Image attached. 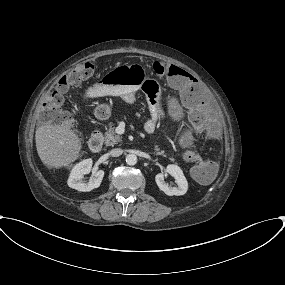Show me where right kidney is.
Returning a JSON list of instances; mask_svg holds the SVG:
<instances>
[{
	"label": "right kidney",
	"mask_w": 285,
	"mask_h": 285,
	"mask_svg": "<svg viewBox=\"0 0 285 285\" xmlns=\"http://www.w3.org/2000/svg\"><path fill=\"white\" fill-rule=\"evenodd\" d=\"M92 159H85L77 163L71 170L67 184L70 188H73L82 192H89L100 186L104 177V171L98 170L94 174V178L90 179L88 183L82 181L84 175L89 174L92 168Z\"/></svg>",
	"instance_id": "right-kidney-1"
}]
</instances>
